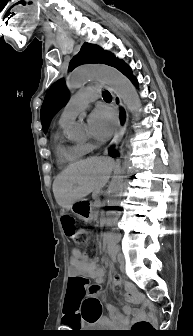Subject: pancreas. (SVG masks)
Instances as JSON below:
<instances>
[{"label":"pancreas","mask_w":193,"mask_h":336,"mask_svg":"<svg viewBox=\"0 0 193 336\" xmlns=\"http://www.w3.org/2000/svg\"><path fill=\"white\" fill-rule=\"evenodd\" d=\"M92 206H93V212L95 213V219L97 221H100L101 215L99 211L103 209V206L97 202H95Z\"/></svg>","instance_id":"1"}]
</instances>
